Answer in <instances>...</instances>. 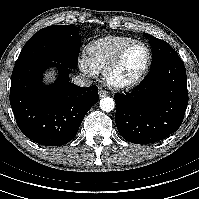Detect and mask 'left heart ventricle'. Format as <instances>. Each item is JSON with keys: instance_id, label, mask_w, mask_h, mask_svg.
Returning <instances> with one entry per match:
<instances>
[{"instance_id": "left-heart-ventricle-1", "label": "left heart ventricle", "mask_w": 199, "mask_h": 199, "mask_svg": "<svg viewBox=\"0 0 199 199\" xmlns=\"http://www.w3.org/2000/svg\"><path fill=\"white\" fill-rule=\"evenodd\" d=\"M147 53L143 46L132 48L125 56L120 67L114 72L113 79L125 82L134 79L144 67Z\"/></svg>"}]
</instances>
